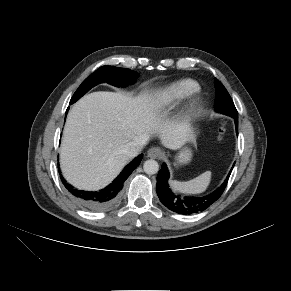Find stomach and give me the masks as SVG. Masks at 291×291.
<instances>
[{"label": "stomach", "mask_w": 291, "mask_h": 291, "mask_svg": "<svg viewBox=\"0 0 291 291\" xmlns=\"http://www.w3.org/2000/svg\"><path fill=\"white\" fill-rule=\"evenodd\" d=\"M196 142V133L193 129H191L189 140L185 144L194 145ZM192 158V150L188 146H184L179 153L176 155V163L175 165H185L191 161Z\"/></svg>", "instance_id": "obj_1"}]
</instances>
